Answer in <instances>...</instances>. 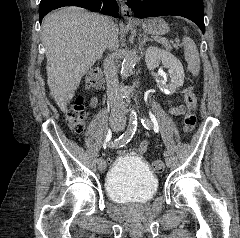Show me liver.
<instances>
[{"label": "liver", "mask_w": 240, "mask_h": 238, "mask_svg": "<svg viewBox=\"0 0 240 238\" xmlns=\"http://www.w3.org/2000/svg\"><path fill=\"white\" fill-rule=\"evenodd\" d=\"M97 16L78 7H65L43 20L47 83L50 95L63 112L85 73L106 49L118 47L117 25L111 20L105 29L97 22Z\"/></svg>", "instance_id": "obj_1"}]
</instances>
